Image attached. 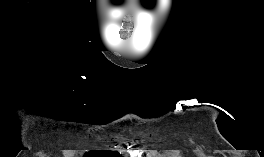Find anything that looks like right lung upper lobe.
I'll return each instance as SVG.
<instances>
[{"label": "right lung upper lobe", "instance_id": "cb5924a9", "mask_svg": "<svg viewBox=\"0 0 264 157\" xmlns=\"http://www.w3.org/2000/svg\"><path fill=\"white\" fill-rule=\"evenodd\" d=\"M101 157H122L120 154H118L117 152H104V153H100Z\"/></svg>", "mask_w": 264, "mask_h": 157}]
</instances>
